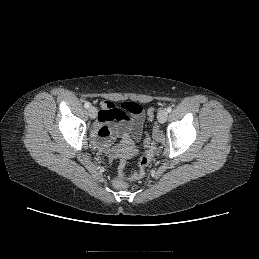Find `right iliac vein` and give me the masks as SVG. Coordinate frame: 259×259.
<instances>
[{
	"mask_svg": "<svg viewBox=\"0 0 259 259\" xmlns=\"http://www.w3.org/2000/svg\"><path fill=\"white\" fill-rule=\"evenodd\" d=\"M88 113H89V116H90L91 119H95L96 116H97V109L94 106H91L88 109Z\"/></svg>",
	"mask_w": 259,
	"mask_h": 259,
	"instance_id": "obj_1",
	"label": "right iliac vein"
}]
</instances>
